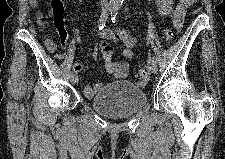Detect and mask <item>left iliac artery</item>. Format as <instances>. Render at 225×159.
Masks as SVG:
<instances>
[{
    "mask_svg": "<svg viewBox=\"0 0 225 159\" xmlns=\"http://www.w3.org/2000/svg\"><path fill=\"white\" fill-rule=\"evenodd\" d=\"M119 10H120V7H114V9H113V12H112V14H111V16H112V18H111V20H112V22L113 23H116L117 22V17H116V15L118 14V12H119ZM152 62H157V59L155 58V57H152Z\"/></svg>",
    "mask_w": 225,
    "mask_h": 159,
    "instance_id": "1",
    "label": "left iliac artery"
}]
</instances>
